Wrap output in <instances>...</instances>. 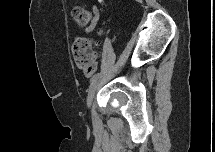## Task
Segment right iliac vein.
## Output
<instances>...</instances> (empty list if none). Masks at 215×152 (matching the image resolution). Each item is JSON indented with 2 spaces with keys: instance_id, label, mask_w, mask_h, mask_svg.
<instances>
[{
  "instance_id": "1",
  "label": "right iliac vein",
  "mask_w": 215,
  "mask_h": 152,
  "mask_svg": "<svg viewBox=\"0 0 215 152\" xmlns=\"http://www.w3.org/2000/svg\"><path fill=\"white\" fill-rule=\"evenodd\" d=\"M96 88H97V82H94L88 92V95H87V106L90 107L91 105V102L93 100V97H94V94H95V91H96Z\"/></svg>"
}]
</instances>
